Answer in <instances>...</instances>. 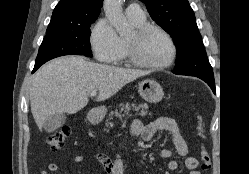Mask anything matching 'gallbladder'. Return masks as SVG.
I'll return each instance as SVG.
<instances>
[{"label": "gallbladder", "instance_id": "obj_1", "mask_svg": "<svg viewBox=\"0 0 249 174\" xmlns=\"http://www.w3.org/2000/svg\"><path fill=\"white\" fill-rule=\"evenodd\" d=\"M66 121V115L65 114H53L45 119L43 123V129L47 132H53L59 127H61Z\"/></svg>", "mask_w": 249, "mask_h": 174}]
</instances>
